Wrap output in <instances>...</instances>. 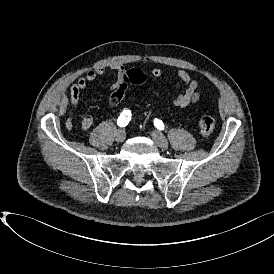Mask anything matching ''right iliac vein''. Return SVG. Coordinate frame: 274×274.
Here are the masks:
<instances>
[{
    "label": "right iliac vein",
    "instance_id": "obj_1",
    "mask_svg": "<svg viewBox=\"0 0 274 274\" xmlns=\"http://www.w3.org/2000/svg\"><path fill=\"white\" fill-rule=\"evenodd\" d=\"M125 138H126V133L124 130H119L115 137L117 142H123Z\"/></svg>",
    "mask_w": 274,
    "mask_h": 274
}]
</instances>
